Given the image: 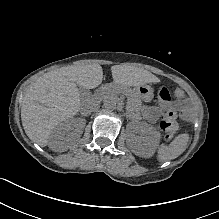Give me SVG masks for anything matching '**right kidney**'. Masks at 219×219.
I'll list each match as a JSON object with an SVG mask.
<instances>
[{
	"mask_svg": "<svg viewBox=\"0 0 219 219\" xmlns=\"http://www.w3.org/2000/svg\"><path fill=\"white\" fill-rule=\"evenodd\" d=\"M70 125L71 122L69 121L52 132L48 142V147L50 150L54 152H65L68 150V145L65 143L64 139ZM75 127L76 125L73 126V128ZM73 132L75 133L76 131L73 130ZM76 137H80V134L76 135Z\"/></svg>",
	"mask_w": 219,
	"mask_h": 219,
	"instance_id": "obj_1",
	"label": "right kidney"
}]
</instances>
